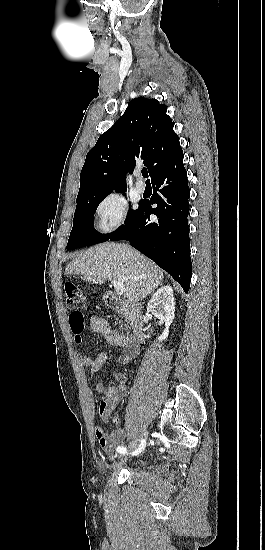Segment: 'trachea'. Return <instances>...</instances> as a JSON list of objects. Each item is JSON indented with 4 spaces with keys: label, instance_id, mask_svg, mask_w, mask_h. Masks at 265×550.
I'll list each match as a JSON object with an SVG mask.
<instances>
[{
    "label": "trachea",
    "instance_id": "3493384b",
    "mask_svg": "<svg viewBox=\"0 0 265 550\" xmlns=\"http://www.w3.org/2000/svg\"><path fill=\"white\" fill-rule=\"evenodd\" d=\"M141 172L144 178H148V173L146 168H143Z\"/></svg>",
    "mask_w": 265,
    "mask_h": 550
}]
</instances>
